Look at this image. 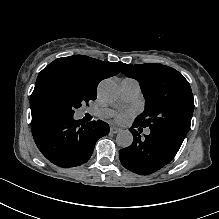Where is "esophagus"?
I'll return each mask as SVG.
<instances>
[{"label": "esophagus", "mask_w": 219, "mask_h": 219, "mask_svg": "<svg viewBox=\"0 0 219 219\" xmlns=\"http://www.w3.org/2000/svg\"><path fill=\"white\" fill-rule=\"evenodd\" d=\"M120 128H118V127H116V126H112L111 128H110V131H111V133L112 134H117L118 132H120Z\"/></svg>", "instance_id": "34e87169"}]
</instances>
